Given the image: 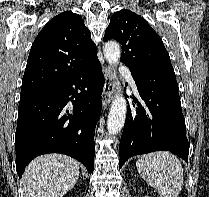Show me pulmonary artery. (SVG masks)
Returning a JSON list of instances; mask_svg holds the SVG:
<instances>
[{
  "label": "pulmonary artery",
  "instance_id": "obj_1",
  "mask_svg": "<svg viewBox=\"0 0 209 197\" xmlns=\"http://www.w3.org/2000/svg\"><path fill=\"white\" fill-rule=\"evenodd\" d=\"M121 73L127 78V80L130 82V85L131 87L134 89V90H137V86H136V83L133 79V76H132V72L129 68H126V67H122L120 69Z\"/></svg>",
  "mask_w": 209,
  "mask_h": 197
}]
</instances>
